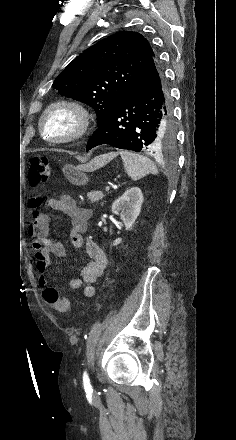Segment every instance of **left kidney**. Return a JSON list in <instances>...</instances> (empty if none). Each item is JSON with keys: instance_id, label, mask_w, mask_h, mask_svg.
<instances>
[{"instance_id": "obj_1", "label": "left kidney", "mask_w": 236, "mask_h": 440, "mask_svg": "<svg viewBox=\"0 0 236 440\" xmlns=\"http://www.w3.org/2000/svg\"><path fill=\"white\" fill-rule=\"evenodd\" d=\"M142 203L143 194L141 189L138 187H131L112 204V212L115 215H120L126 230H130L134 225L135 220L140 214ZM121 241V238H117L113 242V245L116 246L120 244Z\"/></svg>"}]
</instances>
